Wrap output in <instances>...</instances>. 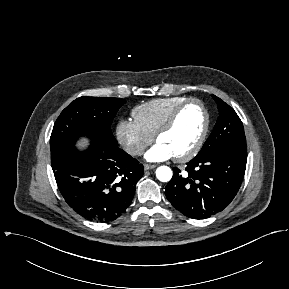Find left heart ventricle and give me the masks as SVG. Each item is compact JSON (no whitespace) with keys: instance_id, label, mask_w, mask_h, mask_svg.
Here are the masks:
<instances>
[{"instance_id":"b2bd125f","label":"left heart ventricle","mask_w":289,"mask_h":289,"mask_svg":"<svg viewBox=\"0 0 289 289\" xmlns=\"http://www.w3.org/2000/svg\"><path fill=\"white\" fill-rule=\"evenodd\" d=\"M204 121L205 116L201 107L190 104L181 112L173 128L160 136L157 142L165 145L174 156L182 155L196 143Z\"/></svg>"}]
</instances>
